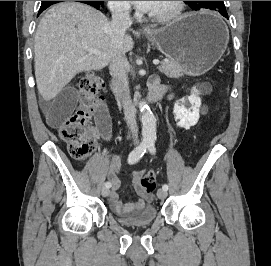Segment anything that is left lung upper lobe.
Returning a JSON list of instances; mask_svg holds the SVG:
<instances>
[{"label": "left lung upper lobe", "instance_id": "left-lung-upper-lobe-1", "mask_svg": "<svg viewBox=\"0 0 271 266\" xmlns=\"http://www.w3.org/2000/svg\"><path fill=\"white\" fill-rule=\"evenodd\" d=\"M192 9H210L217 12L226 11L223 1H185Z\"/></svg>", "mask_w": 271, "mask_h": 266}]
</instances>
